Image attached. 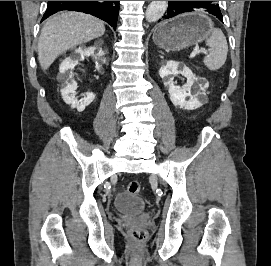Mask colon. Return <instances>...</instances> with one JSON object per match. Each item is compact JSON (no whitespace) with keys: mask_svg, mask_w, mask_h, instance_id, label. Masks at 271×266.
<instances>
[{"mask_svg":"<svg viewBox=\"0 0 271 266\" xmlns=\"http://www.w3.org/2000/svg\"><path fill=\"white\" fill-rule=\"evenodd\" d=\"M127 190L133 195H139L141 193L140 183L137 181H132L128 184ZM131 237L135 241H143L146 238V231L142 228H134L131 231Z\"/></svg>","mask_w":271,"mask_h":266,"instance_id":"colon-1","label":"colon"}]
</instances>
